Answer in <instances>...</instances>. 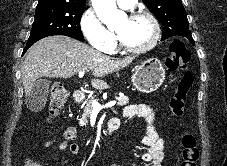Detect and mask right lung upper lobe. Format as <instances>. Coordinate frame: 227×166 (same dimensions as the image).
Wrapping results in <instances>:
<instances>
[{"label": "right lung upper lobe", "mask_w": 227, "mask_h": 166, "mask_svg": "<svg viewBox=\"0 0 227 166\" xmlns=\"http://www.w3.org/2000/svg\"><path fill=\"white\" fill-rule=\"evenodd\" d=\"M41 6H72L85 7V0H39L37 7Z\"/></svg>", "instance_id": "obj_1"}]
</instances>
